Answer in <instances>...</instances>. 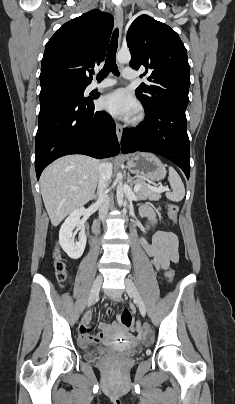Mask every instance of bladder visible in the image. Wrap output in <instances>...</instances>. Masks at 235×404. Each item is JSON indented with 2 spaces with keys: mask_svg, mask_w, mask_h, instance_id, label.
<instances>
[{
  "mask_svg": "<svg viewBox=\"0 0 235 404\" xmlns=\"http://www.w3.org/2000/svg\"><path fill=\"white\" fill-rule=\"evenodd\" d=\"M89 359H107L109 357L121 358L128 354L125 350H120L114 345H109L98 350L90 351L87 353Z\"/></svg>",
  "mask_w": 235,
  "mask_h": 404,
  "instance_id": "31cf9c89",
  "label": "bladder"
}]
</instances>
